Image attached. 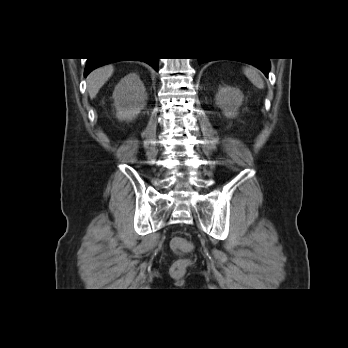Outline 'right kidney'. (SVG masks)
<instances>
[{"instance_id": "ca27d5eb", "label": "right kidney", "mask_w": 348, "mask_h": 348, "mask_svg": "<svg viewBox=\"0 0 348 348\" xmlns=\"http://www.w3.org/2000/svg\"><path fill=\"white\" fill-rule=\"evenodd\" d=\"M116 117L120 121H132L144 109L147 94L137 73H129L116 85L113 92Z\"/></svg>"}]
</instances>
